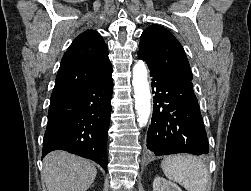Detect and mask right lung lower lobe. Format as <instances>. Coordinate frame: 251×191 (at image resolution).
I'll list each match as a JSON object with an SVG mask.
<instances>
[{
    "label": "right lung lower lobe",
    "mask_w": 251,
    "mask_h": 191,
    "mask_svg": "<svg viewBox=\"0 0 251 191\" xmlns=\"http://www.w3.org/2000/svg\"><path fill=\"white\" fill-rule=\"evenodd\" d=\"M112 77L67 97L51 101L42 156L64 150L91 159L107 172V137Z\"/></svg>",
    "instance_id": "right-lung-lower-lobe-1"
}]
</instances>
